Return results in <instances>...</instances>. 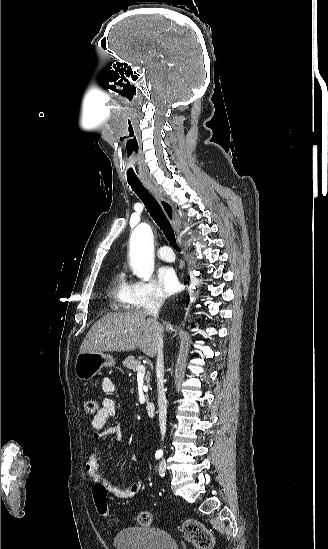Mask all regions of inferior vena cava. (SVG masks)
Segmentation results:
<instances>
[{"label":"inferior vena cava","mask_w":328,"mask_h":549,"mask_svg":"<svg viewBox=\"0 0 328 549\" xmlns=\"http://www.w3.org/2000/svg\"><path fill=\"white\" fill-rule=\"evenodd\" d=\"M163 305L162 299H150L147 301L144 309L146 315L153 317L155 321L158 319L159 311ZM157 345V363H156V373H157V389H158V407H159V425L164 439L166 433V419H167V401L164 391V361H163V339L161 333H159Z\"/></svg>","instance_id":"obj_1"}]
</instances>
